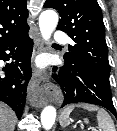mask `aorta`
<instances>
[{
  "instance_id": "1",
  "label": "aorta",
  "mask_w": 117,
  "mask_h": 131,
  "mask_svg": "<svg viewBox=\"0 0 117 131\" xmlns=\"http://www.w3.org/2000/svg\"><path fill=\"white\" fill-rule=\"evenodd\" d=\"M58 24V14L54 10L43 11L39 16V28L42 38L48 41ZM56 119V108L46 106L41 112V123L45 130H50Z\"/></svg>"
}]
</instances>
